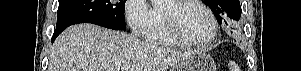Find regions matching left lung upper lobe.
<instances>
[{
	"instance_id": "1",
	"label": "left lung upper lobe",
	"mask_w": 301,
	"mask_h": 71,
	"mask_svg": "<svg viewBox=\"0 0 301 71\" xmlns=\"http://www.w3.org/2000/svg\"><path fill=\"white\" fill-rule=\"evenodd\" d=\"M214 11L218 22L221 24L224 17L238 21L241 16L239 0H204Z\"/></svg>"
}]
</instances>
